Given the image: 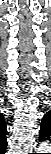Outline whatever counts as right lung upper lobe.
Segmentation results:
<instances>
[{
  "mask_svg": "<svg viewBox=\"0 0 51 154\" xmlns=\"http://www.w3.org/2000/svg\"><path fill=\"white\" fill-rule=\"evenodd\" d=\"M3 124H4V125H3V127H4V130H5V121H4V118H3Z\"/></svg>",
  "mask_w": 51,
  "mask_h": 154,
  "instance_id": "cb5924a9",
  "label": "right lung upper lobe"
}]
</instances>
